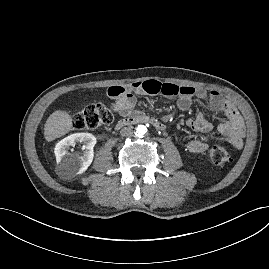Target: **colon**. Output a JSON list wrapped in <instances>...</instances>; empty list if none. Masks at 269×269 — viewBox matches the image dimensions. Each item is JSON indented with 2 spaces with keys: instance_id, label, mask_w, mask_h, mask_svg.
<instances>
[{
  "instance_id": "5ec220e1",
  "label": "colon",
  "mask_w": 269,
  "mask_h": 269,
  "mask_svg": "<svg viewBox=\"0 0 269 269\" xmlns=\"http://www.w3.org/2000/svg\"><path fill=\"white\" fill-rule=\"evenodd\" d=\"M113 120V111L105 103H92L79 111L73 119L77 130H94ZM211 161L216 165H225L231 161L230 152L223 146L214 145L209 150Z\"/></svg>"
}]
</instances>
